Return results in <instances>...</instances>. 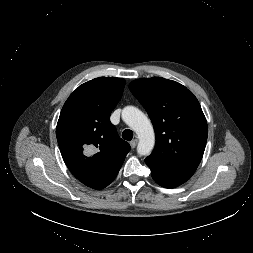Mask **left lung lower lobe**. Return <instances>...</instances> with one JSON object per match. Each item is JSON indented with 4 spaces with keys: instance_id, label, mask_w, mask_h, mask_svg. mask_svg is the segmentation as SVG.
<instances>
[{
    "instance_id": "1",
    "label": "left lung lower lobe",
    "mask_w": 253,
    "mask_h": 253,
    "mask_svg": "<svg viewBox=\"0 0 253 253\" xmlns=\"http://www.w3.org/2000/svg\"><path fill=\"white\" fill-rule=\"evenodd\" d=\"M146 164L149 166L151 170V175L154 181L157 182L162 187L175 188L189 179L188 177L185 176L170 173L152 163L146 162Z\"/></svg>"
}]
</instances>
